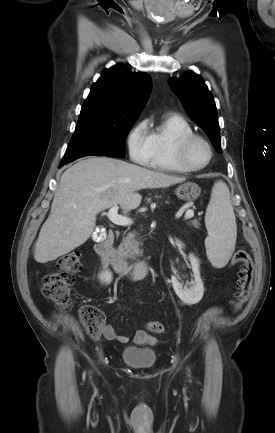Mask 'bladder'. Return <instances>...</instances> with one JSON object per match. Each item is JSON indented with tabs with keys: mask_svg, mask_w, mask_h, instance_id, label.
Returning <instances> with one entry per match:
<instances>
[{
	"mask_svg": "<svg viewBox=\"0 0 275 433\" xmlns=\"http://www.w3.org/2000/svg\"><path fill=\"white\" fill-rule=\"evenodd\" d=\"M121 359L134 368H150L156 362V352L152 348L127 346L122 350Z\"/></svg>",
	"mask_w": 275,
	"mask_h": 433,
	"instance_id": "obj_1",
	"label": "bladder"
}]
</instances>
